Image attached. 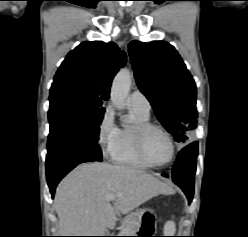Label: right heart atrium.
<instances>
[{
    "label": "right heart atrium",
    "instance_id": "obj_1",
    "mask_svg": "<svg viewBox=\"0 0 248 237\" xmlns=\"http://www.w3.org/2000/svg\"><path fill=\"white\" fill-rule=\"evenodd\" d=\"M97 142L104 157H112L118 145L119 128L115 124L113 111L106 107L97 125Z\"/></svg>",
    "mask_w": 248,
    "mask_h": 237
}]
</instances>
